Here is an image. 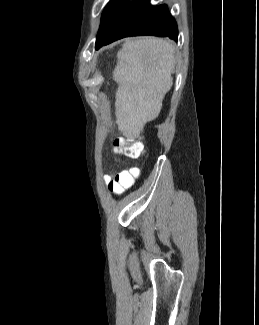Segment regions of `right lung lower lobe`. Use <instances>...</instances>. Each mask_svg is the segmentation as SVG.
I'll list each match as a JSON object with an SVG mask.
<instances>
[{
    "label": "right lung lower lobe",
    "mask_w": 259,
    "mask_h": 325,
    "mask_svg": "<svg viewBox=\"0 0 259 325\" xmlns=\"http://www.w3.org/2000/svg\"><path fill=\"white\" fill-rule=\"evenodd\" d=\"M139 35L168 36L177 41V24L167 5L152 6L149 0L133 2L113 32L95 48L99 49L123 37Z\"/></svg>",
    "instance_id": "right-lung-lower-lobe-1"
}]
</instances>
